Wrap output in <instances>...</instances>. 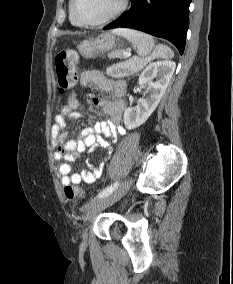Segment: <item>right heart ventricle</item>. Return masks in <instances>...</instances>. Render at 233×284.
I'll return each mask as SVG.
<instances>
[{
  "label": "right heart ventricle",
  "instance_id": "obj_1",
  "mask_svg": "<svg viewBox=\"0 0 233 284\" xmlns=\"http://www.w3.org/2000/svg\"><path fill=\"white\" fill-rule=\"evenodd\" d=\"M71 7H72V0L69 1V19L70 22L74 25V26H79V24L77 23V21L74 19L72 12H71Z\"/></svg>",
  "mask_w": 233,
  "mask_h": 284
}]
</instances>
